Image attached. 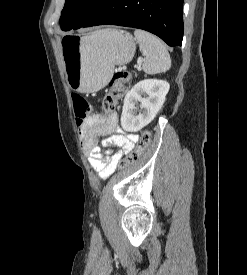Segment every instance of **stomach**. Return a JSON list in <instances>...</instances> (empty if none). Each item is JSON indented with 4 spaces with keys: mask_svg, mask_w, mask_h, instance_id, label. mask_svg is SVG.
Returning a JSON list of instances; mask_svg holds the SVG:
<instances>
[{
    "mask_svg": "<svg viewBox=\"0 0 247 275\" xmlns=\"http://www.w3.org/2000/svg\"><path fill=\"white\" fill-rule=\"evenodd\" d=\"M60 46L68 86L83 93L104 88L115 66L129 63L136 50L133 36L117 29H103L82 37L67 35Z\"/></svg>",
    "mask_w": 247,
    "mask_h": 275,
    "instance_id": "1",
    "label": "stomach"
}]
</instances>
